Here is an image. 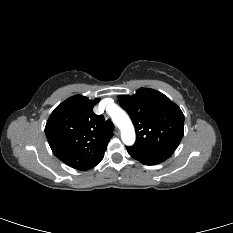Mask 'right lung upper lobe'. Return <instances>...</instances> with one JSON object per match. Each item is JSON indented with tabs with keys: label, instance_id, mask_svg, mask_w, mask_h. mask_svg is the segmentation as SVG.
Segmentation results:
<instances>
[{
	"label": "right lung upper lobe",
	"instance_id": "right-lung-upper-lobe-1",
	"mask_svg": "<svg viewBox=\"0 0 233 233\" xmlns=\"http://www.w3.org/2000/svg\"><path fill=\"white\" fill-rule=\"evenodd\" d=\"M99 99L75 95L55 108L45 134L53 153L65 164L78 169L93 168L103 157L113 132L105 129L104 117L93 107Z\"/></svg>",
	"mask_w": 233,
	"mask_h": 233
}]
</instances>
